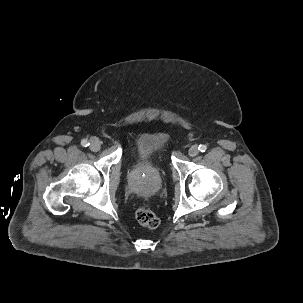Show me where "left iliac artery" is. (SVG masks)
<instances>
[{"mask_svg": "<svg viewBox=\"0 0 303 303\" xmlns=\"http://www.w3.org/2000/svg\"><path fill=\"white\" fill-rule=\"evenodd\" d=\"M198 150H199L200 152H205V151L207 150V146L201 144V145H199Z\"/></svg>", "mask_w": 303, "mask_h": 303, "instance_id": "left-iliac-artery-1", "label": "left iliac artery"}]
</instances>
